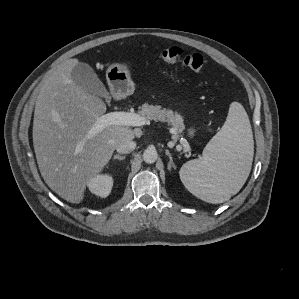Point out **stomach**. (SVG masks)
<instances>
[{
  "label": "stomach",
  "instance_id": "stomach-1",
  "mask_svg": "<svg viewBox=\"0 0 299 299\" xmlns=\"http://www.w3.org/2000/svg\"><path fill=\"white\" fill-rule=\"evenodd\" d=\"M130 62L114 63L106 71V79L115 97H126L133 93L134 83L130 75ZM195 129H188V135L192 138L195 135Z\"/></svg>",
  "mask_w": 299,
  "mask_h": 299
}]
</instances>
